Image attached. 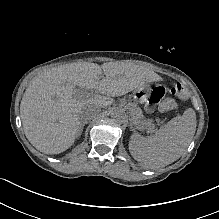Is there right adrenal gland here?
Returning <instances> with one entry per match:
<instances>
[{
	"mask_svg": "<svg viewBox=\"0 0 219 219\" xmlns=\"http://www.w3.org/2000/svg\"><path fill=\"white\" fill-rule=\"evenodd\" d=\"M84 125L85 123H82L81 126H80V130H79V133H78V136L81 135L82 131H83V128H84Z\"/></svg>",
	"mask_w": 219,
	"mask_h": 219,
	"instance_id": "2a0ac1e0",
	"label": "right adrenal gland"
}]
</instances>
